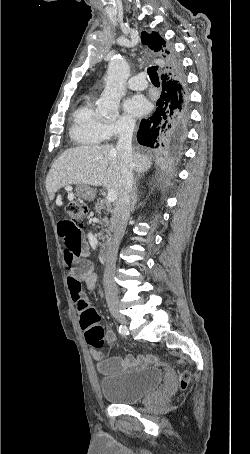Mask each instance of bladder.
I'll list each match as a JSON object with an SVG mask.
<instances>
[{
	"instance_id": "bladder-1",
	"label": "bladder",
	"mask_w": 250,
	"mask_h": 454,
	"mask_svg": "<svg viewBox=\"0 0 250 454\" xmlns=\"http://www.w3.org/2000/svg\"><path fill=\"white\" fill-rule=\"evenodd\" d=\"M161 382V369L150 366L136 371H119L113 376L102 378L100 390L106 401L130 405L157 391Z\"/></svg>"
}]
</instances>
